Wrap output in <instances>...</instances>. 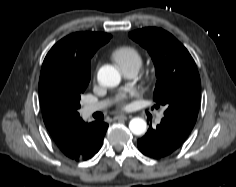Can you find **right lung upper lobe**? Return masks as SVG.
Here are the masks:
<instances>
[{"label":"right lung upper lobe","mask_w":236,"mask_h":187,"mask_svg":"<svg viewBox=\"0 0 236 187\" xmlns=\"http://www.w3.org/2000/svg\"><path fill=\"white\" fill-rule=\"evenodd\" d=\"M111 35L101 32H77L57 42L46 55L41 68L39 95L46 128L60 150L69 158L77 153L85 123L79 113H67L50 107L43 98L42 83L47 73L59 69L78 78H90V59Z\"/></svg>","instance_id":"obj_1"}]
</instances>
